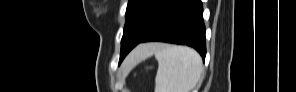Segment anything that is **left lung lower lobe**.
<instances>
[{"label": "left lung lower lobe", "instance_id": "0a47b994", "mask_svg": "<svg viewBox=\"0 0 296 92\" xmlns=\"http://www.w3.org/2000/svg\"><path fill=\"white\" fill-rule=\"evenodd\" d=\"M148 41L191 46L200 53L204 60L206 43L201 0H170L155 26L141 42ZM131 49L124 53L123 58Z\"/></svg>", "mask_w": 296, "mask_h": 92}]
</instances>
